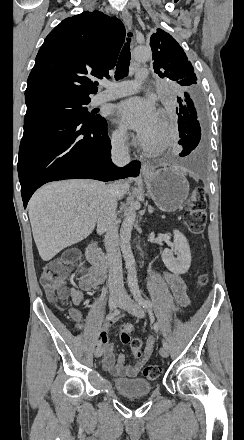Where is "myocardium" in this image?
<instances>
[{"label":"myocardium","instance_id":"myocardium-1","mask_svg":"<svg viewBox=\"0 0 244 440\" xmlns=\"http://www.w3.org/2000/svg\"><path fill=\"white\" fill-rule=\"evenodd\" d=\"M158 115L162 116L163 123H164L165 127H167L168 126V117H169L168 112H166L165 110H159ZM161 138H162V136L160 138H158L157 141H159Z\"/></svg>","mask_w":244,"mask_h":440}]
</instances>
